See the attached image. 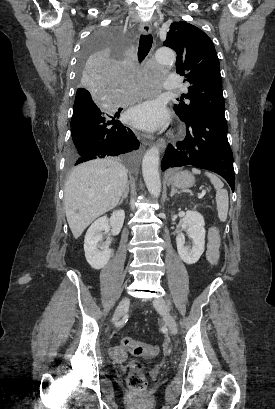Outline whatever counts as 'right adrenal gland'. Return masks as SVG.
<instances>
[{"label": "right adrenal gland", "instance_id": "right-adrenal-gland-1", "mask_svg": "<svg viewBox=\"0 0 275 409\" xmlns=\"http://www.w3.org/2000/svg\"><path fill=\"white\" fill-rule=\"evenodd\" d=\"M129 184H130V182H127L126 188H125V190H124V192H123V194H122V198H121V200H120V202H119V205H122V202H123L124 198H127V196H128Z\"/></svg>", "mask_w": 275, "mask_h": 409}]
</instances>
